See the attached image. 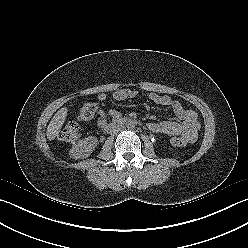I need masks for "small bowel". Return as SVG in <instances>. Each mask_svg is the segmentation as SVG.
Returning a JSON list of instances; mask_svg holds the SVG:
<instances>
[{
  "label": "small bowel",
  "instance_id": "obj_1",
  "mask_svg": "<svg viewBox=\"0 0 248 248\" xmlns=\"http://www.w3.org/2000/svg\"><path fill=\"white\" fill-rule=\"evenodd\" d=\"M137 95V91L124 88L116 90L112 94V99L119 102L136 98ZM97 99L101 104V107L97 111V124L101 128H106L108 125V118H117L119 114L115 110L106 112L103 106L107 102L108 96L105 93L99 94ZM148 99L157 105L170 107L178 119V121L168 120L150 122L148 123V129L150 131L169 136L180 135L188 143H192L197 139L200 123L198 121V115L194 110L184 108L179 101L174 100L167 95L150 93L148 94Z\"/></svg>",
  "mask_w": 248,
  "mask_h": 248
}]
</instances>
